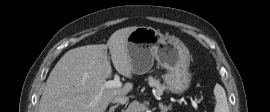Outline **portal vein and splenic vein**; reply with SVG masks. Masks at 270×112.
<instances>
[{"label":"portal vein and splenic vein","instance_id":"18ae733b","mask_svg":"<svg viewBox=\"0 0 270 112\" xmlns=\"http://www.w3.org/2000/svg\"><path fill=\"white\" fill-rule=\"evenodd\" d=\"M104 86L106 88H120L122 86V83L120 81V78L118 76H115L113 80L106 81L104 83ZM192 106L197 109L198 105L195 100L191 99Z\"/></svg>","mask_w":270,"mask_h":112}]
</instances>
